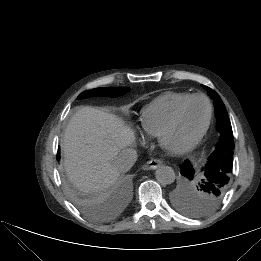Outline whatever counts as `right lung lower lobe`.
I'll return each instance as SVG.
<instances>
[{
	"mask_svg": "<svg viewBox=\"0 0 261 261\" xmlns=\"http://www.w3.org/2000/svg\"><path fill=\"white\" fill-rule=\"evenodd\" d=\"M57 159H58V160L60 159L59 153H58V155H57Z\"/></svg>",
	"mask_w": 261,
	"mask_h": 261,
	"instance_id": "1",
	"label": "right lung lower lobe"
}]
</instances>
